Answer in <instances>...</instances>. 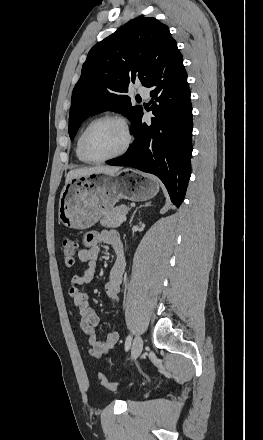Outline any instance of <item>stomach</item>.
<instances>
[{"mask_svg":"<svg viewBox=\"0 0 263 440\" xmlns=\"http://www.w3.org/2000/svg\"><path fill=\"white\" fill-rule=\"evenodd\" d=\"M159 187L155 177L129 171L115 176L76 177L61 191L58 219L67 228L87 229L112 210L120 199L145 201L153 198Z\"/></svg>","mask_w":263,"mask_h":440,"instance_id":"stomach-1","label":"stomach"}]
</instances>
